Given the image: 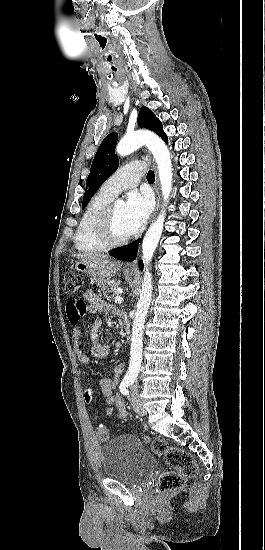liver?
Instances as JSON below:
<instances>
[{"label":"liver","mask_w":265,"mask_h":550,"mask_svg":"<svg viewBox=\"0 0 265 550\" xmlns=\"http://www.w3.org/2000/svg\"><path fill=\"white\" fill-rule=\"evenodd\" d=\"M76 257L104 278L113 277L122 266L121 262L112 260L104 254H82Z\"/></svg>","instance_id":"1"}]
</instances>
